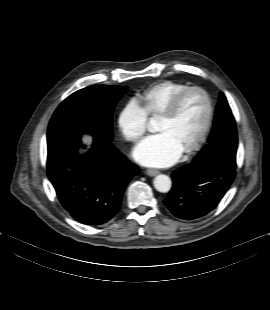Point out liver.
Returning <instances> with one entry per match:
<instances>
[{"label": "liver", "instance_id": "6515ba94", "mask_svg": "<svg viewBox=\"0 0 270 310\" xmlns=\"http://www.w3.org/2000/svg\"><path fill=\"white\" fill-rule=\"evenodd\" d=\"M91 141H92V137L91 136H88V135L83 136V142L84 143L89 144V143H91Z\"/></svg>", "mask_w": 270, "mask_h": 310}]
</instances>
